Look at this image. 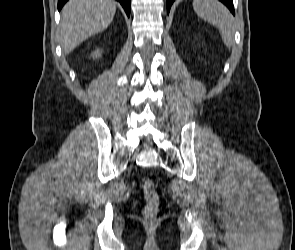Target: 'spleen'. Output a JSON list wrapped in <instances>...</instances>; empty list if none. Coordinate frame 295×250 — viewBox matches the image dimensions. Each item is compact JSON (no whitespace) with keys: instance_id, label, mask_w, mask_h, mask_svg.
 <instances>
[{"instance_id":"spleen-1","label":"spleen","mask_w":295,"mask_h":250,"mask_svg":"<svg viewBox=\"0 0 295 250\" xmlns=\"http://www.w3.org/2000/svg\"><path fill=\"white\" fill-rule=\"evenodd\" d=\"M193 8L199 17L218 28L224 44L231 48L234 43V26L229 10L217 0H194Z\"/></svg>"}]
</instances>
